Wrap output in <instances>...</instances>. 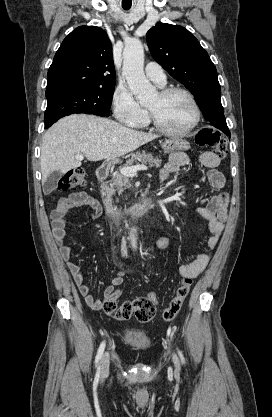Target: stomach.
<instances>
[{
  "label": "stomach",
  "instance_id": "obj_1",
  "mask_svg": "<svg viewBox=\"0 0 272 417\" xmlns=\"http://www.w3.org/2000/svg\"><path fill=\"white\" fill-rule=\"evenodd\" d=\"M162 148L166 153H168L174 150H187L189 148V144L183 139L173 138L166 140L162 144ZM117 161L118 160H116V162Z\"/></svg>",
  "mask_w": 272,
  "mask_h": 417
}]
</instances>
